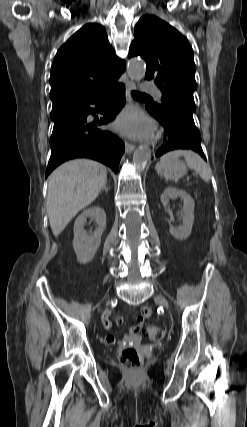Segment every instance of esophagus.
Masks as SVG:
<instances>
[{"label":"esophagus","mask_w":247,"mask_h":427,"mask_svg":"<svg viewBox=\"0 0 247 427\" xmlns=\"http://www.w3.org/2000/svg\"><path fill=\"white\" fill-rule=\"evenodd\" d=\"M136 89V85L133 81H128L126 84V100L127 102H131V92ZM125 148L127 153H131L135 149V145L129 142H125Z\"/></svg>","instance_id":"1"}]
</instances>
